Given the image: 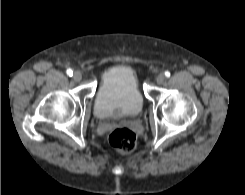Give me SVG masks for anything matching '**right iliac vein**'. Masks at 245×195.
Segmentation results:
<instances>
[{"label": "right iliac vein", "instance_id": "obj_1", "mask_svg": "<svg viewBox=\"0 0 245 195\" xmlns=\"http://www.w3.org/2000/svg\"><path fill=\"white\" fill-rule=\"evenodd\" d=\"M73 79L75 80V81H80L81 79H82V74H81V72H79V71H76V72H74V74H73Z\"/></svg>", "mask_w": 245, "mask_h": 195}]
</instances>
